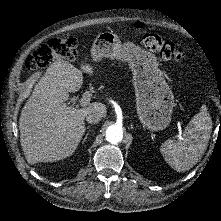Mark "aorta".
Wrapping results in <instances>:
<instances>
[{"mask_svg":"<svg viewBox=\"0 0 221 221\" xmlns=\"http://www.w3.org/2000/svg\"><path fill=\"white\" fill-rule=\"evenodd\" d=\"M123 138L122 127L116 124L110 125L106 130V140L112 144L121 142Z\"/></svg>","mask_w":221,"mask_h":221,"instance_id":"762f6f07","label":"aorta"}]
</instances>
